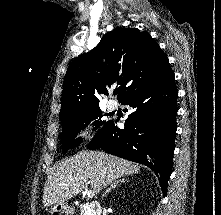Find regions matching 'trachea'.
Segmentation results:
<instances>
[{
  "label": "trachea",
  "mask_w": 221,
  "mask_h": 215,
  "mask_svg": "<svg viewBox=\"0 0 221 215\" xmlns=\"http://www.w3.org/2000/svg\"><path fill=\"white\" fill-rule=\"evenodd\" d=\"M118 93V91H114V95H116Z\"/></svg>",
  "instance_id": "trachea-1"
}]
</instances>
